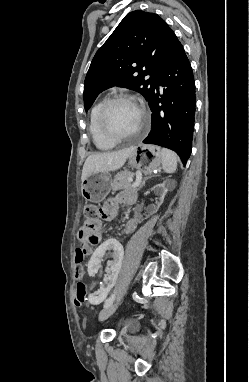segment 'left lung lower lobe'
<instances>
[{
    "label": "left lung lower lobe",
    "mask_w": 249,
    "mask_h": 382,
    "mask_svg": "<svg viewBox=\"0 0 249 382\" xmlns=\"http://www.w3.org/2000/svg\"><path fill=\"white\" fill-rule=\"evenodd\" d=\"M159 85L164 87L161 94ZM195 103L192 68L178 40L161 68L148 100L152 126L143 143L174 150L186 164L192 148Z\"/></svg>",
    "instance_id": "1"
}]
</instances>
